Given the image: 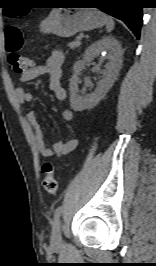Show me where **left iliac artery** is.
Returning <instances> with one entry per match:
<instances>
[{
	"label": "left iliac artery",
	"instance_id": "1",
	"mask_svg": "<svg viewBox=\"0 0 156 266\" xmlns=\"http://www.w3.org/2000/svg\"><path fill=\"white\" fill-rule=\"evenodd\" d=\"M61 213H62V207L59 206V207L56 209L55 213H54V221H55V222L59 220Z\"/></svg>",
	"mask_w": 156,
	"mask_h": 266
}]
</instances>
